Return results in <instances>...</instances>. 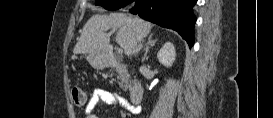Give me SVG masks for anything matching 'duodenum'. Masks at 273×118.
Returning a JSON list of instances; mask_svg holds the SVG:
<instances>
[{
  "mask_svg": "<svg viewBox=\"0 0 273 118\" xmlns=\"http://www.w3.org/2000/svg\"><path fill=\"white\" fill-rule=\"evenodd\" d=\"M105 60L108 62V64H110L111 66L117 67L120 69V71H122L123 73H128L129 71V67L127 65L124 64H119L115 58L113 57V55H111L110 53H107L105 55ZM143 93H144V88L143 85L140 82H134L130 89H129V98L130 101L133 104H138L141 102L142 97H143Z\"/></svg>",
  "mask_w": 273,
  "mask_h": 118,
  "instance_id": "1",
  "label": "duodenum"
}]
</instances>
